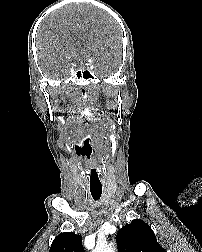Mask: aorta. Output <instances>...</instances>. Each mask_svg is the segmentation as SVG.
<instances>
[{
  "label": "aorta",
  "instance_id": "aorta-1",
  "mask_svg": "<svg viewBox=\"0 0 202 252\" xmlns=\"http://www.w3.org/2000/svg\"><path fill=\"white\" fill-rule=\"evenodd\" d=\"M92 252H116V249L110 244L98 243Z\"/></svg>",
  "mask_w": 202,
  "mask_h": 252
}]
</instances>
